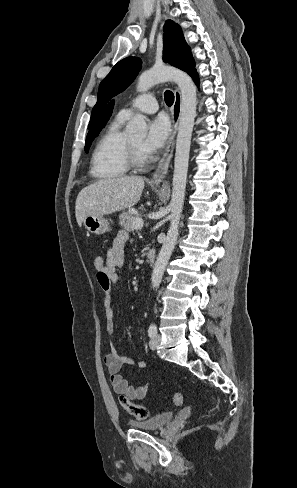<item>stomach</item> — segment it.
Segmentation results:
<instances>
[{"instance_id": "1", "label": "stomach", "mask_w": 297, "mask_h": 488, "mask_svg": "<svg viewBox=\"0 0 297 488\" xmlns=\"http://www.w3.org/2000/svg\"><path fill=\"white\" fill-rule=\"evenodd\" d=\"M83 224L89 232L97 235L110 230L108 220L99 215H87L83 220Z\"/></svg>"}]
</instances>
